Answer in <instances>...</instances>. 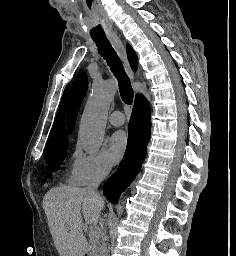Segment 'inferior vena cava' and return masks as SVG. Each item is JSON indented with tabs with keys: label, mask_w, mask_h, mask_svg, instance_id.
Listing matches in <instances>:
<instances>
[{
	"label": "inferior vena cava",
	"mask_w": 236,
	"mask_h": 256,
	"mask_svg": "<svg viewBox=\"0 0 236 256\" xmlns=\"http://www.w3.org/2000/svg\"><path fill=\"white\" fill-rule=\"evenodd\" d=\"M105 178V172L103 170H94L91 174V180L87 186V188H84L85 192L87 194H90L94 200H98V204H101L102 198H100L98 194V186L102 180ZM101 238H102V256H108V248H107V240L108 236H105L103 230L101 232Z\"/></svg>",
	"instance_id": "inferior-vena-cava-1"
}]
</instances>
